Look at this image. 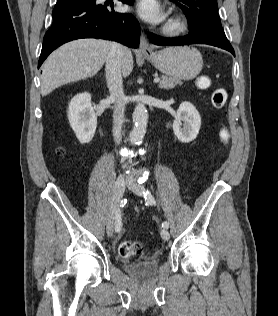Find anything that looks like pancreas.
Listing matches in <instances>:
<instances>
[{
  "mask_svg": "<svg viewBox=\"0 0 278 316\" xmlns=\"http://www.w3.org/2000/svg\"><path fill=\"white\" fill-rule=\"evenodd\" d=\"M182 82L175 77L162 76L159 83V87L162 89H172L176 85L181 84Z\"/></svg>",
  "mask_w": 278,
  "mask_h": 316,
  "instance_id": "cf45deb5",
  "label": "pancreas"
}]
</instances>
